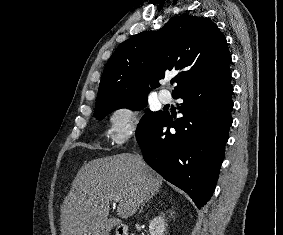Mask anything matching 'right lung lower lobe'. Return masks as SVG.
<instances>
[{"instance_id": "obj_1", "label": "right lung lower lobe", "mask_w": 283, "mask_h": 235, "mask_svg": "<svg viewBox=\"0 0 283 235\" xmlns=\"http://www.w3.org/2000/svg\"><path fill=\"white\" fill-rule=\"evenodd\" d=\"M230 72L185 87L174 94L184 100L182 118L163 112L136 136L145 162L164 179L184 190L200 209L210 200L224 158L232 124ZM176 130L170 133V128Z\"/></svg>"}]
</instances>
